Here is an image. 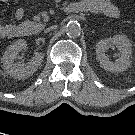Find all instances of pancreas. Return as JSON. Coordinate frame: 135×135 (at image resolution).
<instances>
[{
    "label": "pancreas",
    "mask_w": 135,
    "mask_h": 135,
    "mask_svg": "<svg viewBox=\"0 0 135 135\" xmlns=\"http://www.w3.org/2000/svg\"><path fill=\"white\" fill-rule=\"evenodd\" d=\"M21 26L28 28V31L30 33H37L41 29V27L39 26V24L34 23V22H31V21H25V22L22 23Z\"/></svg>",
    "instance_id": "1"
}]
</instances>
